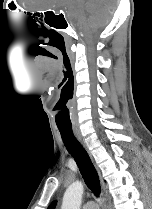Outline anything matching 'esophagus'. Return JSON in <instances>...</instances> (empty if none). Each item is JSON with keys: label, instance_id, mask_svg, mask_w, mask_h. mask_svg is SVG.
<instances>
[{"label": "esophagus", "instance_id": "34e87169", "mask_svg": "<svg viewBox=\"0 0 152 209\" xmlns=\"http://www.w3.org/2000/svg\"><path fill=\"white\" fill-rule=\"evenodd\" d=\"M73 132H74L76 138L78 139V141H79V142L82 144V146L88 151L87 145H86V143H85V141H84V138H83L82 135H81L80 130H79L77 127H74V128H73ZM103 200H104V203H105V206H106V199L104 198Z\"/></svg>", "mask_w": 152, "mask_h": 209}]
</instances>
